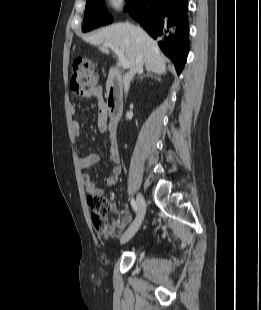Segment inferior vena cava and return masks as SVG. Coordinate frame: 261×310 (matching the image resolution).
Listing matches in <instances>:
<instances>
[{
	"mask_svg": "<svg viewBox=\"0 0 261 310\" xmlns=\"http://www.w3.org/2000/svg\"><path fill=\"white\" fill-rule=\"evenodd\" d=\"M143 64H144V58H143V54L139 53L136 57V61L134 66L130 69V71H128L124 76H123V82H124V90L127 93L130 87V82L133 79L134 75L137 72L142 71L143 68Z\"/></svg>",
	"mask_w": 261,
	"mask_h": 310,
	"instance_id": "obj_1",
	"label": "inferior vena cava"
}]
</instances>
